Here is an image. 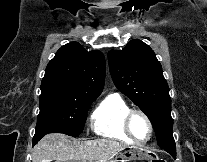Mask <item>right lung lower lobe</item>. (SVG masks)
Segmentation results:
<instances>
[{
  "instance_id": "obj_1",
  "label": "right lung lower lobe",
  "mask_w": 207,
  "mask_h": 162,
  "mask_svg": "<svg viewBox=\"0 0 207 162\" xmlns=\"http://www.w3.org/2000/svg\"><path fill=\"white\" fill-rule=\"evenodd\" d=\"M41 138H42L41 136H40V137H34V138H33V145H34L35 143H37Z\"/></svg>"
}]
</instances>
